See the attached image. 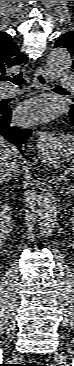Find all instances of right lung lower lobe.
<instances>
[{"instance_id": "obj_1", "label": "right lung lower lobe", "mask_w": 74, "mask_h": 366, "mask_svg": "<svg viewBox=\"0 0 74 366\" xmlns=\"http://www.w3.org/2000/svg\"><path fill=\"white\" fill-rule=\"evenodd\" d=\"M30 129H20L11 124V110L5 102L0 103V137L13 142L21 152L23 143L31 135Z\"/></svg>"}]
</instances>
